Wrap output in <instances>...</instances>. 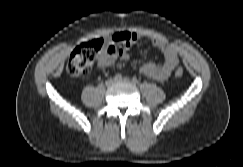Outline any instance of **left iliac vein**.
Listing matches in <instances>:
<instances>
[{
  "mask_svg": "<svg viewBox=\"0 0 243 167\" xmlns=\"http://www.w3.org/2000/svg\"><path fill=\"white\" fill-rule=\"evenodd\" d=\"M117 83H130V80L128 78H124L121 80H116Z\"/></svg>",
  "mask_w": 243,
  "mask_h": 167,
  "instance_id": "left-iliac-vein-1",
  "label": "left iliac vein"
}]
</instances>
